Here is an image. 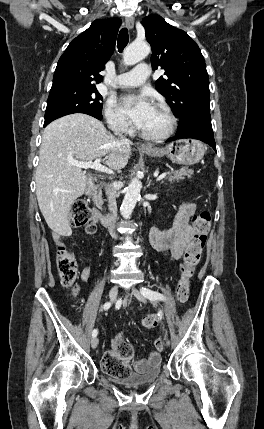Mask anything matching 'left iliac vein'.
<instances>
[{
  "mask_svg": "<svg viewBox=\"0 0 264 429\" xmlns=\"http://www.w3.org/2000/svg\"><path fill=\"white\" fill-rule=\"evenodd\" d=\"M131 291H132V294L138 299V300H140V301H142V302H146V298H145V296L135 287V286H133L132 287V289H131ZM166 344L167 345H169L170 344V342H169V340L168 339H166Z\"/></svg>",
  "mask_w": 264,
  "mask_h": 429,
  "instance_id": "1",
  "label": "left iliac vein"
}]
</instances>
